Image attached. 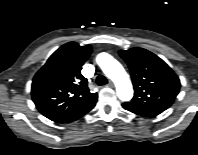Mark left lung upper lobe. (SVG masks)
Here are the masks:
<instances>
[{
	"instance_id": "5c2ea615",
	"label": "left lung upper lobe",
	"mask_w": 198,
	"mask_h": 155,
	"mask_svg": "<svg viewBox=\"0 0 198 155\" xmlns=\"http://www.w3.org/2000/svg\"><path fill=\"white\" fill-rule=\"evenodd\" d=\"M134 86V97L123 105L138 113L158 115L169 108L180 90V81L158 56L143 48L120 50Z\"/></svg>"
}]
</instances>
